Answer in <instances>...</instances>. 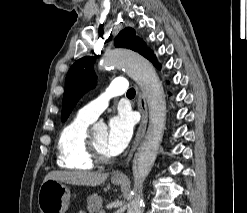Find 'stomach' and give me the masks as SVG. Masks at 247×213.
Returning a JSON list of instances; mask_svg holds the SVG:
<instances>
[{"instance_id": "stomach-1", "label": "stomach", "mask_w": 247, "mask_h": 213, "mask_svg": "<svg viewBox=\"0 0 247 213\" xmlns=\"http://www.w3.org/2000/svg\"><path fill=\"white\" fill-rule=\"evenodd\" d=\"M122 180L112 179L115 185ZM70 204V190L62 182L56 180L44 181L38 192V206L41 213H65Z\"/></svg>"}]
</instances>
